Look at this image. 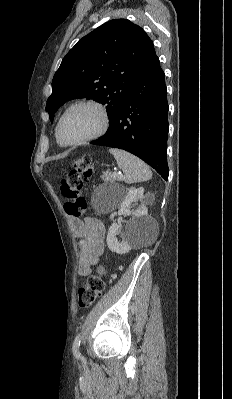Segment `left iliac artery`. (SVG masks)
Instances as JSON below:
<instances>
[{"label":"left iliac artery","instance_id":"44dca946","mask_svg":"<svg viewBox=\"0 0 232 399\" xmlns=\"http://www.w3.org/2000/svg\"><path fill=\"white\" fill-rule=\"evenodd\" d=\"M80 343H81V334L79 333L75 337L73 345H72V353H73L74 357L77 359L82 357V355L79 351Z\"/></svg>","mask_w":232,"mask_h":399}]
</instances>
